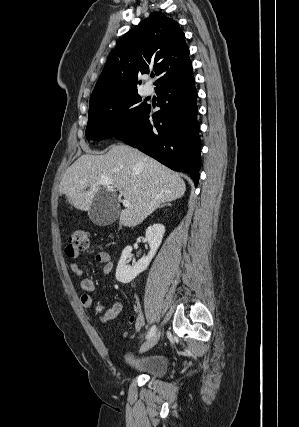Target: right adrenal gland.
<instances>
[{"label": "right adrenal gland", "mask_w": 299, "mask_h": 427, "mask_svg": "<svg viewBox=\"0 0 299 427\" xmlns=\"http://www.w3.org/2000/svg\"><path fill=\"white\" fill-rule=\"evenodd\" d=\"M166 205V203H163V204H161L160 206H159V208L160 207H163V206H165ZM167 205H170V203H167Z\"/></svg>", "instance_id": "obj_1"}]
</instances>
